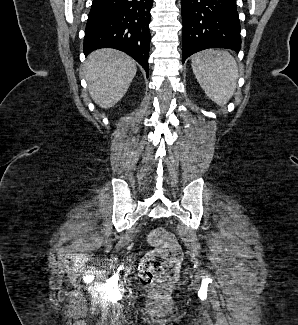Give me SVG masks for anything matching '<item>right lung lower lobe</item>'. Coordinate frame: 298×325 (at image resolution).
<instances>
[{
  "instance_id": "right-lung-lower-lobe-1",
  "label": "right lung lower lobe",
  "mask_w": 298,
  "mask_h": 325,
  "mask_svg": "<svg viewBox=\"0 0 298 325\" xmlns=\"http://www.w3.org/2000/svg\"><path fill=\"white\" fill-rule=\"evenodd\" d=\"M153 0H93L84 38V54L115 48L149 72V23Z\"/></svg>"
}]
</instances>
